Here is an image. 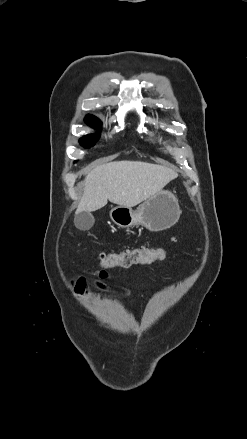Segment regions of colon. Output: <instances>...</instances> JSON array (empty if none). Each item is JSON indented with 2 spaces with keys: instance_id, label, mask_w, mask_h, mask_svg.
Returning <instances> with one entry per match:
<instances>
[{
  "instance_id": "5ec220e1",
  "label": "colon",
  "mask_w": 247,
  "mask_h": 439,
  "mask_svg": "<svg viewBox=\"0 0 247 439\" xmlns=\"http://www.w3.org/2000/svg\"><path fill=\"white\" fill-rule=\"evenodd\" d=\"M165 254V250L162 248H139L119 253L100 254L98 260L102 268H128L133 265H145L162 260Z\"/></svg>"
}]
</instances>
